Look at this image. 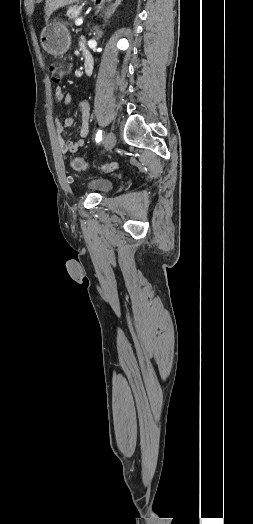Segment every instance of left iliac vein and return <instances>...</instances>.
Masks as SVG:
<instances>
[{"mask_svg":"<svg viewBox=\"0 0 253 524\" xmlns=\"http://www.w3.org/2000/svg\"><path fill=\"white\" fill-rule=\"evenodd\" d=\"M104 147L107 151L111 150L116 144V136L110 131L104 137Z\"/></svg>","mask_w":253,"mask_h":524,"instance_id":"4c4485c4","label":"left iliac vein"}]
</instances>
